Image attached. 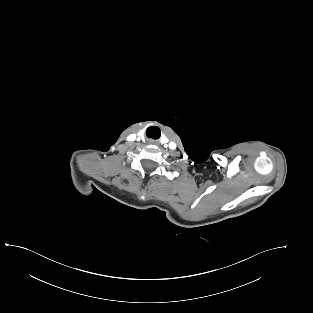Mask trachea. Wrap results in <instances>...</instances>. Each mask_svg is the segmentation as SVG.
<instances>
[{"mask_svg": "<svg viewBox=\"0 0 313 313\" xmlns=\"http://www.w3.org/2000/svg\"><path fill=\"white\" fill-rule=\"evenodd\" d=\"M146 135L148 137L152 136L154 139H157L160 137V129L156 126H151L147 129Z\"/></svg>", "mask_w": 313, "mask_h": 313, "instance_id": "3493384b", "label": "trachea"}]
</instances>
